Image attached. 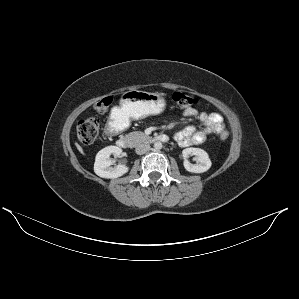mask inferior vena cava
Returning <instances> with one entry per match:
<instances>
[{"label":"inferior vena cava","mask_w":299,"mask_h":299,"mask_svg":"<svg viewBox=\"0 0 299 299\" xmlns=\"http://www.w3.org/2000/svg\"><path fill=\"white\" fill-rule=\"evenodd\" d=\"M149 150H150V145L147 143L138 144L135 149L136 153L139 155H142Z\"/></svg>","instance_id":"inferior-vena-cava-1"}]
</instances>
